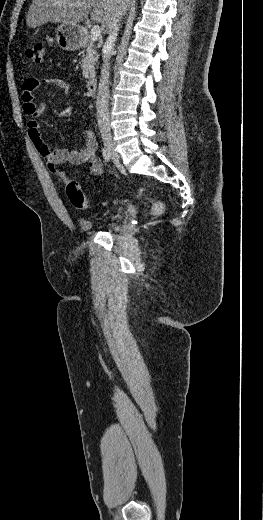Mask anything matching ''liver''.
I'll return each instance as SVG.
<instances>
[{
    "mask_svg": "<svg viewBox=\"0 0 263 520\" xmlns=\"http://www.w3.org/2000/svg\"><path fill=\"white\" fill-rule=\"evenodd\" d=\"M129 2L130 0H33L26 22L31 28L49 21L78 24L90 14L91 20L100 23L101 30L107 33L112 28L116 12L123 15Z\"/></svg>",
    "mask_w": 263,
    "mask_h": 520,
    "instance_id": "liver-1",
    "label": "liver"
}]
</instances>
